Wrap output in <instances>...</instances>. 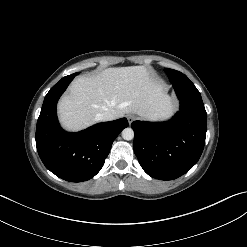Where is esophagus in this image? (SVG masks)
I'll use <instances>...</instances> for the list:
<instances>
[{
  "label": "esophagus",
  "mask_w": 247,
  "mask_h": 247,
  "mask_svg": "<svg viewBox=\"0 0 247 247\" xmlns=\"http://www.w3.org/2000/svg\"><path fill=\"white\" fill-rule=\"evenodd\" d=\"M136 118H137V117H136L135 115H133V114L127 115V120H128V123H129V124H131L133 121H135Z\"/></svg>",
  "instance_id": "obj_1"
}]
</instances>
